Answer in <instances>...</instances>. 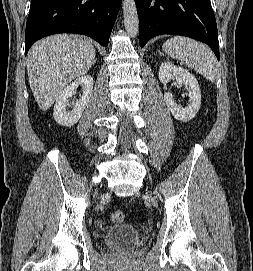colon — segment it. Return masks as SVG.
<instances>
[{
  "label": "colon",
  "mask_w": 253,
  "mask_h": 271,
  "mask_svg": "<svg viewBox=\"0 0 253 271\" xmlns=\"http://www.w3.org/2000/svg\"><path fill=\"white\" fill-rule=\"evenodd\" d=\"M111 219L113 222L120 223L124 220V213L120 210L114 211L111 214Z\"/></svg>",
  "instance_id": "obj_1"
}]
</instances>
